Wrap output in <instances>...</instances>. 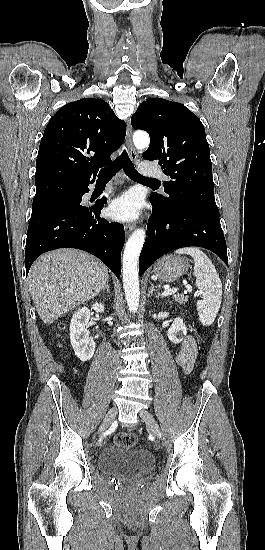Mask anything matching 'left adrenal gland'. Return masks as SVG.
I'll list each match as a JSON object with an SVG mask.
<instances>
[{
	"label": "left adrenal gland",
	"instance_id": "a2214340",
	"mask_svg": "<svg viewBox=\"0 0 265 550\" xmlns=\"http://www.w3.org/2000/svg\"><path fill=\"white\" fill-rule=\"evenodd\" d=\"M150 284H151V286H150V289L148 291V297H150V295L156 291L153 283L151 282ZM159 296H160V293H158L157 297H159Z\"/></svg>",
	"mask_w": 265,
	"mask_h": 550
}]
</instances>
